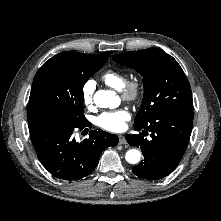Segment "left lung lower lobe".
Returning <instances> with one entry per match:
<instances>
[{
	"instance_id": "1",
	"label": "left lung lower lobe",
	"mask_w": 221,
	"mask_h": 221,
	"mask_svg": "<svg viewBox=\"0 0 221 221\" xmlns=\"http://www.w3.org/2000/svg\"><path fill=\"white\" fill-rule=\"evenodd\" d=\"M193 126L192 110H174L158 113L137 135H127L129 145L140 147L144 159L132 171L135 175L149 179H161L169 175L179 164L189 143ZM151 133V140L143 135ZM143 134V135H142Z\"/></svg>"
}]
</instances>
